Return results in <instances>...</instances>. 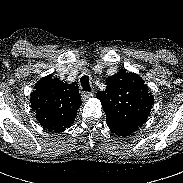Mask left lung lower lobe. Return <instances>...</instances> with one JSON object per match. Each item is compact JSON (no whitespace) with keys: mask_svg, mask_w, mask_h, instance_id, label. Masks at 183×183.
<instances>
[{"mask_svg":"<svg viewBox=\"0 0 183 183\" xmlns=\"http://www.w3.org/2000/svg\"><path fill=\"white\" fill-rule=\"evenodd\" d=\"M107 125L112 132H114L115 134H117L119 136L130 135L131 133H133L137 130V128H135V127H124V126H120V125H117L114 123H107Z\"/></svg>","mask_w":183,"mask_h":183,"instance_id":"0a47b994","label":"left lung lower lobe"}]
</instances>
